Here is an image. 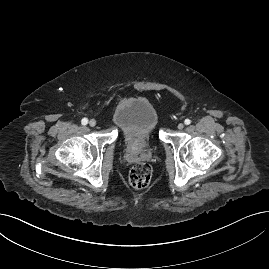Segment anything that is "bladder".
Instances as JSON below:
<instances>
[{
    "instance_id": "31cf9c89",
    "label": "bladder",
    "mask_w": 269,
    "mask_h": 269,
    "mask_svg": "<svg viewBox=\"0 0 269 269\" xmlns=\"http://www.w3.org/2000/svg\"><path fill=\"white\" fill-rule=\"evenodd\" d=\"M113 119L126 146L133 147L151 138L158 125L154 106L142 97L122 102L114 111Z\"/></svg>"
}]
</instances>
